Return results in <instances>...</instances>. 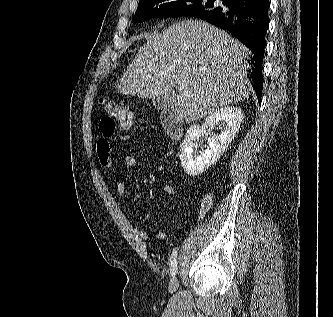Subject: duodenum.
Returning a JSON list of instances; mask_svg holds the SVG:
<instances>
[{"label": "duodenum", "instance_id": "duodenum-1", "mask_svg": "<svg viewBox=\"0 0 333 317\" xmlns=\"http://www.w3.org/2000/svg\"><path fill=\"white\" fill-rule=\"evenodd\" d=\"M161 123L167 134L173 139H179L183 129L179 120L169 111L161 114Z\"/></svg>", "mask_w": 333, "mask_h": 317}]
</instances>
